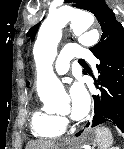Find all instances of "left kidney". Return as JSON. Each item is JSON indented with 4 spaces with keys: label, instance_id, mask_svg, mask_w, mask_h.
<instances>
[{
    "label": "left kidney",
    "instance_id": "left-kidney-1",
    "mask_svg": "<svg viewBox=\"0 0 124 149\" xmlns=\"http://www.w3.org/2000/svg\"><path fill=\"white\" fill-rule=\"evenodd\" d=\"M112 149H119L118 147H113Z\"/></svg>",
    "mask_w": 124,
    "mask_h": 149
}]
</instances>
